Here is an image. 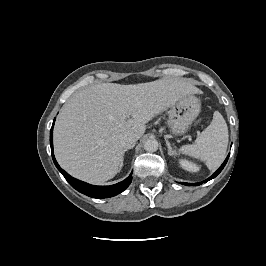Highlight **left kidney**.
<instances>
[{
	"mask_svg": "<svg viewBox=\"0 0 266 266\" xmlns=\"http://www.w3.org/2000/svg\"><path fill=\"white\" fill-rule=\"evenodd\" d=\"M179 164L183 169H185L189 172H197L200 169V167L198 165H196L195 163L190 162L186 159L179 160Z\"/></svg>",
	"mask_w": 266,
	"mask_h": 266,
	"instance_id": "5707ae66",
	"label": "left kidney"
}]
</instances>
